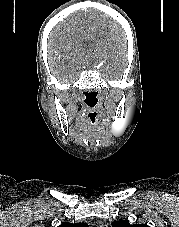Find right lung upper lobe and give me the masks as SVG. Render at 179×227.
<instances>
[{
	"instance_id": "cb5924a9",
	"label": "right lung upper lobe",
	"mask_w": 179,
	"mask_h": 227,
	"mask_svg": "<svg viewBox=\"0 0 179 227\" xmlns=\"http://www.w3.org/2000/svg\"><path fill=\"white\" fill-rule=\"evenodd\" d=\"M59 227H89L86 223H68L63 222Z\"/></svg>"
}]
</instances>
